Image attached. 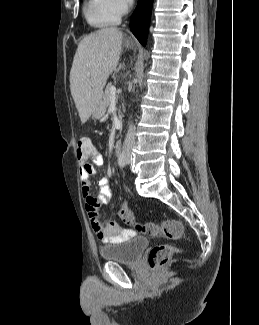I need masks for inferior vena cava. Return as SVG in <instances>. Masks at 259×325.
I'll list each match as a JSON object with an SVG mask.
<instances>
[{"instance_id":"inferior-vena-cava-1","label":"inferior vena cava","mask_w":259,"mask_h":325,"mask_svg":"<svg viewBox=\"0 0 259 325\" xmlns=\"http://www.w3.org/2000/svg\"><path fill=\"white\" fill-rule=\"evenodd\" d=\"M128 3L130 6H132L133 0H128ZM125 145H126V148H132L135 145V136H134L133 127H131L128 131V134H127L126 140H125Z\"/></svg>"}]
</instances>
